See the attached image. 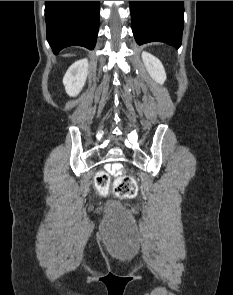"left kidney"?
I'll list each match as a JSON object with an SVG mask.
<instances>
[{
	"label": "left kidney",
	"instance_id": "left-kidney-1",
	"mask_svg": "<svg viewBox=\"0 0 233 295\" xmlns=\"http://www.w3.org/2000/svg\"><path fill=\"white\" fill-rule=\"evenodd\" d=\"M142 60L150 76L160 84L166 80V72L161 61L148 52H142Z\"/></svg>",
	"mask_w": 233,
	"mask_h": 295
}]
</instances>
